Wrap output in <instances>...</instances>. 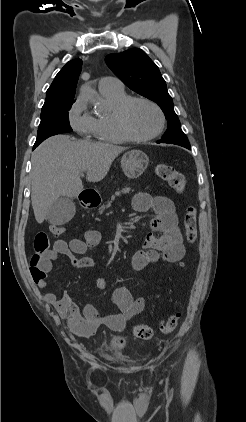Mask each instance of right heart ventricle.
Returning a JSON list of instances; mask_svg holds the SVG:
<instances>
[{"label": "right heart ventricle", "instance_id": "e07e8e85", "mask_svg": "<svg viewBox=\"0 0 246 422\" xmlns=\"http://www.w3.org/2000/svg\"><path fill=\"white\" fill-rule=\"evenodd\" d=\"M101 94L107 102L109 110L96 118V138L105 143H126L130 141L118 127L115 118L117 106L129 96L124 89L101 91Z\"/></svg>", "mask_w": 246, "mask_h": 422}]
</instances>
